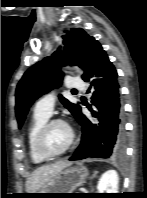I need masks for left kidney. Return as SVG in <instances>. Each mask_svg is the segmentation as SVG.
Wrapping results in <instances>:
<instances>
[{"label": "left kidney", "instance_id": "5707ae66", "mask_svg": "<svg viewBox=\"0 0 147 198\" xmlns=\"http://www.w3.org/2000/svg\"><path fill=\"white\" fill-rule=\"evenodd\" d=\"M118 183V173L115 170H108L99 179L97 189L99 193H118Z\"/></svg>", "mask_w": 147, "mask_h": 198}]
</instances>
